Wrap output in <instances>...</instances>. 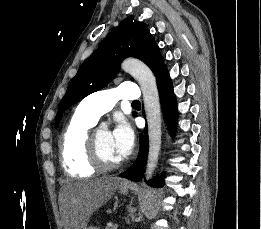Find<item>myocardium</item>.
Here are the masks:
<instances>
[{
    "label": "myocardium",
    "instance_id": "f54148a6",
    "mask_svg": "<svg viewBox=\"0 0 261 229\" xmlns=\"http://www.w3.org/2000/svg\"><path fill=\"white\" fill-rule=\"evenodd\" d=\"M90 152L93 163L96 165L97 169L101 171L114 170L120 167L122 164L121 160L111 162L103 156L99 145L98 133L95 134L91 139Z\"/></svg>",
    "mask_w": 261,
    "mask_h": 229
}]
</instances>
